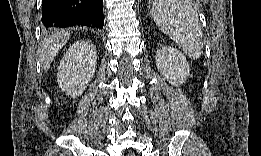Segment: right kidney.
Instances as JSON below:
<instances>
[{"label": "right kidney", "mask_w": 261, "mask_h": 156, "mask_svg": "<svg viewBox=\"0 0 261 156\" xmlns=\"http://www.w3.org/2000/svg\"><path fill=\"white\" fill-rule=\"evenodd\" d=\"M96 49L88 40L73 43L58 66V84L68 96L75 98L83 93L94 76Z\"/></svg>", "instance_id": "ca27d5eb"}]
</instances>
